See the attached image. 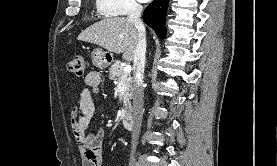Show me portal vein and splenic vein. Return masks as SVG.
Wrapping results in <instances>:
<instances>
[{"mask_svg": "<svg viewBox=\"0 0 277 166\" xmlns=\"http://www.w3.org/2000/svg\"><path fill=\"white\" fill-rule=\"evenodd\" d=\"M125 72H130L131 71V66L130 65H126L124 68Z\"/></svg>", "mask_w": 277, "mask_h": 166, "instance_id": "portal-vein-and-splenic-vein-1", "label": "portal vein and splenic vein"}]
</instances>
